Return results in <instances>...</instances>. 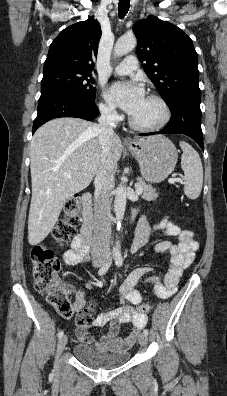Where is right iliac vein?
<instances>
[{
    "instance_id": "obj_1",
    "label": "right iliac vein",
    "mask_w": 227,
    "mask_h": 396,
    "mask_svg": "<svg viewBox=\"0 0 227 396\" xmlns=\"http://www.w3.org/2000/svg\"><path fill=\"white\" fill-rule=\"evenodd\" d=\"M94 265L96 267H100L103 265V261L98 260L94 263ZM66 344H67V336H62L59 339L58 345H57V360H59V357H60L61 353L63 352V350L65 349Z\"/></svg>"
}]
</instances>
